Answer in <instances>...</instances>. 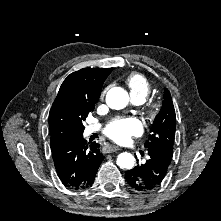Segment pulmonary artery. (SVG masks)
I'll return each instance as SVG.
<instances>
[{"instance_id": "pulmonary-artery-1", "label": "pulmonary artery", "mask_w": 221, "mask_h": 221, "mask_svg": "<svg viewBox=\"0 0 221 221\" xmlns=\"http://www.w3.org/2000/svg\"><path fill=\"white\" fill-rule=\"evenodd\" d=\"M132 102L135 104V105H141L144 101L140 98H131ZM100 128V124L99 123H96V124H92L89 126L88 130H87V133L90 134L92 132H95L97 131L98 129Z\"/></svg>"}]
</instances>
